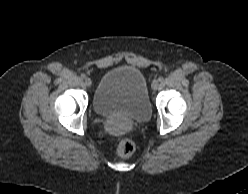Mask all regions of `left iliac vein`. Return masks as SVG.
<instances>
[{
	"label": "left iliac vein",
	"instance_id": "left-iliac-vein-1",
	"mask_svg": "<svg viewBox=\"0 0 248 194\" xmlns=\"http://www.w3.org/2000/svg\"><path fill=\"white\" fill-rule=\"evenodd\" d=\"M159 88V82L157 80H154L152 82V89L157 90Z\"/></svg>",
	"mask_w": 248,
	"mask_h": 194
}]
</instances>
